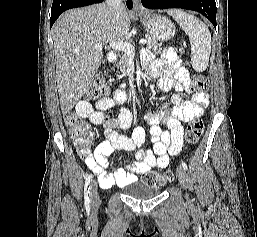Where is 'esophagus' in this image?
I'll use <instances>...</instances> for the list:
<instances>
[{
    "label": "esophagus",
    "mask_w": 257,
    "mask_h": 237,
    "mask_svg": "<svg viewBox=\"0 0 257 237\" xmlns=\"http://www.w3.org/2000/svg\"><path fill=\"white\" fill-rule=\"evenodd\" d=\"M133 10L136 13L144 11L140 0H133Z\"/></svg>",
    "instance_id": "34e87169"
}]
</instances>
